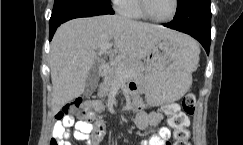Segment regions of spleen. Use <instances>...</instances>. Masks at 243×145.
<instances>
[{
	"label": "spleen",
	"mask_w": 243,
	"mask_h": 145,
	"mask_svg": "<svg viewBox=\"0 0 243 145\" xmlns=\"http://www.w3.org/2000/svg\"><path fill=\"white\" fill-rule=\"evenodd\" d=\"M198 61H199V58H197V63H198Z\"/></svg>",
	"instance_id": "obj_1"
}]
</instances>
